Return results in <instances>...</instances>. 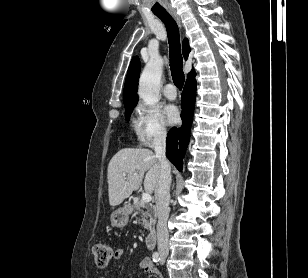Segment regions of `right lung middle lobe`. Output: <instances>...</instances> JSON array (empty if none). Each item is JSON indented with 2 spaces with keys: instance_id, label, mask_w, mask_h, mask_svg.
<instances>
[{
  "instance_id": "dd1d6c3e",
  "label": "right lung middle lobe",
  "mask_w": 308,
  "mask_h": 278,
  "mask_svg": "<svg viewBox=\"0 0 308 278\" xmlns=\"http://www.w3.org/2000/svg\"><path fill=\"white\" fill-rule=\"evenodd\" d=\"M134 107H135V105L125 106V118H126L127 121L129 120V117H130Z\"/></svg>"
}]
</instances>
